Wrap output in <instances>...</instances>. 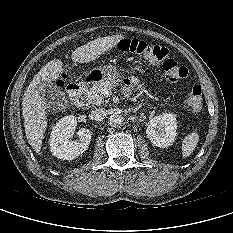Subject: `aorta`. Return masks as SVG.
Segmentation results:
<instances>
[{"instance_id": "1", "label": "aorta", "mask_w": 233, "mask_h": 233, "mask_svg": "<svg viewBox=\"0 0 233 233\" xmlns=\"http://www.w3.org/2000/svg\"><path fill=\"white\" fill-rule=\"evenodd\" d=\"M109 124L113 127L119 126L123 123V118L119 114H112L108 120Z\"/></svg>"}]
</instances>
